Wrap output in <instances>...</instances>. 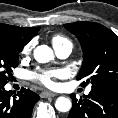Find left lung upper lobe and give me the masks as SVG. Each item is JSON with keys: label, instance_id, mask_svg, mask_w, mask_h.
<instances>
[{"label": "left lung upper lobe", "instance_id": "left-lung-upper-lobe-1", "mask_svg": "<svg viewBox=\"0 0 118 118\" xmlns=\"http://www.w3.org/2000/svg\"><path fill=\"white\" fill-rule=\"evenodd\" d=\"M65 28L76 35L83 50V63L77 79L92 89L118 90V36L98 23L75 22Z\"/></svg>", "mask_w": 118, "mask_h": 118}]
</instances>
